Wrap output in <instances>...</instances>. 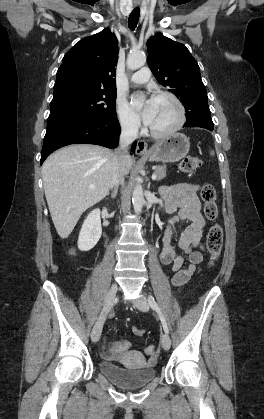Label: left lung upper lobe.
I'll return each mask as SVG.
<instances>
[{"label": "left lung upper lobe", "instance_id": "5c2ea615", "mask_svg": "<svg viewBox=\"0 0 264 419\" xmlns=\"http://www.w3.org/2000/svg\"><path fill=\"white\" fill-rule=\"evenodd\" d=\"M147 63L163 86L180 98L186 112L208 104L199 66L185 45L156 33L147 42Z\"/></svg>", "mask_w": 264, "mask_h": 419}]
</instances>
